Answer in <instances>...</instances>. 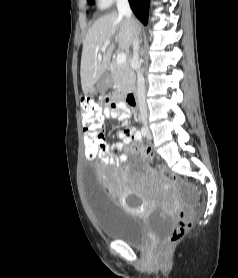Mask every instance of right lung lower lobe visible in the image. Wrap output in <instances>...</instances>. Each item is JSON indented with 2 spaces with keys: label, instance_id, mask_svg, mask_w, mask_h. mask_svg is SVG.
I'll return each mask as SVG.
<instances>
[{
  "label": "right lung lower lobe",
  "instance_id": "obj_1",
  "mask_svg": "<svg viewBox=\"0 0 238 278\" xmlns=\"http://www.w3.org/2000/svg\"><path fill=\"white\" fill-rule=\"evenodd\" d=\"M136 17L147 25L150 0H129Z\"/></svg>",
  "mask_w": 238,
  "mask_h": 278
}]
</instances>
